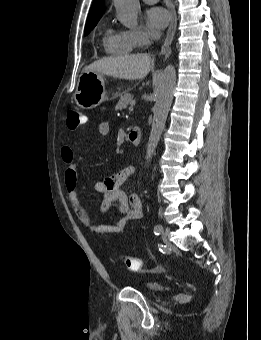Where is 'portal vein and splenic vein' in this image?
<instances>
[{
  "label": "portal vein and splenic vein",
  "mask_w": 261,
  "mask_h": 340,
  "mask_svg": "<svg viewBox=\"0 0 261 340\" xmlns=\"http://www.w3.org/2000/svg\"><path fill=\"white\" fill-rule=\"evenodd\" d=\"M129 111H133V106L129 107Z\"/></svg>",
  "instance_id": "1"
}]
</instances>
